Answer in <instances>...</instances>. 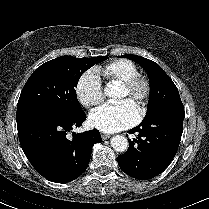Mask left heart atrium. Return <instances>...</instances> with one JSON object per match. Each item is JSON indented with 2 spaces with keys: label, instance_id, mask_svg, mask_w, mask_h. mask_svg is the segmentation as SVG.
I'll list each match as a JSON object with an SVG mask.
<instances>
[{
  "label": "left heart atrium",
  "instance_id": "left-heart-atrium-1",
  "mask_svg": "<svg viewBox=\"0 0 209 209\" xmlns=\"http://www.w3.org/2000/svg\"><path fill=\"white\" fill-rule=\"evenodd\" d=\"M138 119V111L128 102L106 104L89 116L91 127L105 133H113L132 126Z\"/></svg>",
  "mask_w": 209,
  "mask_h": 209
}]
</instances>
